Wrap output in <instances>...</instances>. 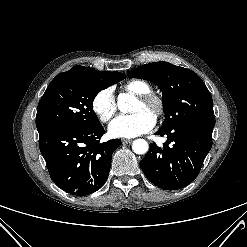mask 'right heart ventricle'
Instances as JSON below:
<instances>
[{
	"mask_svg": "<svg viewBox=\"0 0 247 247\" xmlns=\"http://www.w3.org/2000/svg\"><path fill=\"white\" fill-rule=\"evenodd\" d=\"M123 90L134 95H141L151 91V87L148 83L142 80H130L123 85Z\"/></svg>",
	"mask_w": 247,
	"mask_h": 247,
	"instance_id": "1",
	"label": "right heart ventricle"
}]
</instances>
